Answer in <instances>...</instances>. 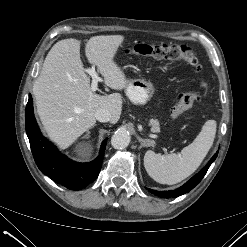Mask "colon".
<instances>
[{
    "label": "colon",
    "mask_w": 247,
    "mask_h": 247,
    "mask_svg": "<svg viewBox=\"0 0 247 247\" xmlns=\"http://www.w3.org/2000/svg\"><path fill=\"white\" fill-rule=\"evenodd\" d=\"M126 52L154 59L183 60L196 69L200 68V61L196 52L186 45L138 43L126 49ZM199 99V89H192L183 93L172 111V117L174 119L181 117Z\"/></svg>",
    "instance_id": "colon-1"
}]
</instances>
